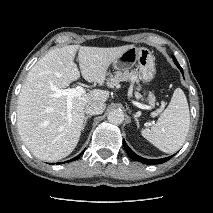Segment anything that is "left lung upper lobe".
Returning <instances> with one entry per match:
<instances>
[{
    "label": "left lung upper lobe",
    "instance_id": "1",
    "mask_svg": "<svg viewBox=\"0 0 213 213\" xmlns=\"http://www.w3.org/2000/svg\"><path fill=\"white\" fill-rule=\"evenodd\" d=\"M173 61H174V63L176 64L177 67L180 66V65L178 64L177 60L175 59V57H173Z\"/></svg>",
    "mask_w": 213,
    "mask_h": 213
}]
</instances>
